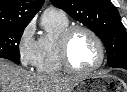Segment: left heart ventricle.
I'll use <instances>...</instances> for the list:
<instances>
[{"instance_id":"obj_1","label":"left heart ventricle","mask_w":127,"mask_h":92,"mask_svg":"<svg viewBox=\"0 0 127 92\" xmlns=\"http://www.w3.org/2000/svg\"><path fill=\"white\" fill-rule=\"evenodd\" d=\"M70 59L79 69L92 67L99 60V50L93 38L86 32H77L70 44Z\"/></svg>"}]
</instances>
